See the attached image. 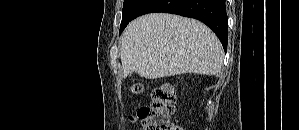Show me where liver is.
Instances as JSON below:
<instances>
[{
  "label": "liver",
  "mask_w": 299,
  "mask_h": 130,
  "mask_svg": "<svg viewBox=\"0 0 299 130\" xmlns=\"http://www.w3.org/2000/svg\"><path fill=\"white\" fill-rule=\"evenodd\" d=\"M123 76L134 72L147 79L177 74L218 75L224 52L203 23L166 13L131 21L121 37Z\"/></svg>",
  "instance_id": "obj_1"
}]
</instances>
